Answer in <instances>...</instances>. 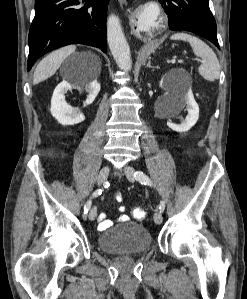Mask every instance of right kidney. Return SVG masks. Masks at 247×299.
Masks as SVG:
<instances>
[{
	"label": "right kidney",
	"instance_id": "obj_1",
	"mask_svg": "<svg viewBox=\"0 0 247 299\" xmlns=\"http://www.w3.org/2000/svg\"><path fill=\"white\" fill-rule=\"evenodd\" d=\"M73 87L82 89L80 86H74L67 81H62L55 88L51 99V114L61 125L64 126L78 124L85 120L83 113H81L79 109L73 108L65 100V93ZM83 87L88 93L85 105H90L93 103L100 91V84L97 79H93L89 83L84 84Z\"/></svg>",
	"mask_w": 247,
	"mask_h": 299
}]
</instances>
